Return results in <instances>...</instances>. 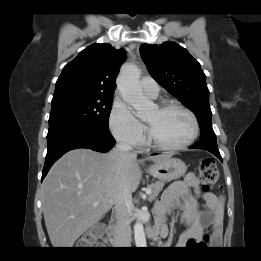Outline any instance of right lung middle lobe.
Returning <instances> with one entry per match:
<instances>
[{
  "label": "right lung middle lobe",
  "mask_w": 261,
  "mask_h": 261,
  "mask_svg": "<svg viewBox=\"0 0 261 261\" xmlns=\"http://www.w3.org/2000/svg\"><path fill=\"white\" fill-rule=\"evenodd\" d=\"M49 128L65 124H90L109 129L112 96L77 93L54 94Z\"/></svg>",
  "instance_id": "1"
}]
</instances>
